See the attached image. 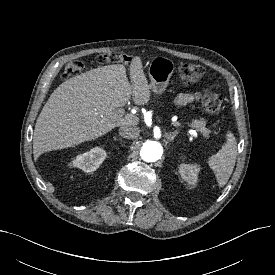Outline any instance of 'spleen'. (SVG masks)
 I'll return each mask as SVG.
<instances>
[{
	"label": "spleen",
	"instance_id": "1",
	"mask_svg": "<svg viewBox=\"0 0 275 275\" xmlns=\"http://www.w3.org/2000/svg\"><path fill=\"white\" fill-rule=\"evenodd\" d=\"M237 157V142L232 132H227L226 142L217 154L209 157L207 163L215 173L218 185L224 186L235 166Z\"/></svg>",
	"mask_w": 275,
	"mask_h": 275
}]
</instances>
